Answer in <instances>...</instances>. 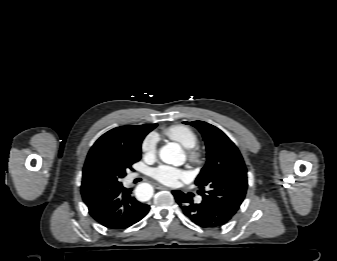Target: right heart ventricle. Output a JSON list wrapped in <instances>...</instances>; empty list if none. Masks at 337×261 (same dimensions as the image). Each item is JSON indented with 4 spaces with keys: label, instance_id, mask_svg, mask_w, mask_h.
Instances as JSON below:
<instances>
[{
    "label": "right heart ventricle",
    "instance_id": "right-heart-ventricle-1",
    "mask_svg": "<svg viewBox=\"0 0 337 261\" xmlns=\"http://www.w3.org/2000/svg\"><path fill=\"white\" fill-rule=\"evenodd\" d=\"M163 134L170 140L178 142L184 148L189 149L197 146L198 136L196 132L188 126L175 124L164 129Z\"/></svg>",
    "mask_w": 337,
    "mask_h": 261
}]
</instances>
